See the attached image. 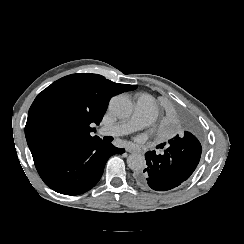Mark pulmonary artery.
Here are the masks:
<instances>
[{
    "instance_id": "obj_1",
    "label": "pulmonary artery",
    "mask_w": 244,
    "mask_h": 244,
    "mask_svg": "<svg viewBox=\"0 0 244 244\" xmlns=\"http://www.w3.org/2000/svg\"><path fill=\"white\" fill-rule=\"evenodd\" d=\"M157 113L155 98L149 93H141L137 97V104L133 116L129 120H123L111 126L98 130L101 135L123 136L133 133L137 129L146 126L153 120Z\"/></svg>"
}]
</instances>
